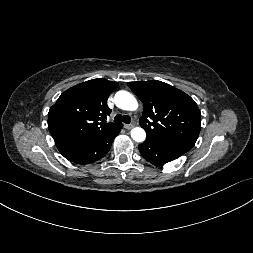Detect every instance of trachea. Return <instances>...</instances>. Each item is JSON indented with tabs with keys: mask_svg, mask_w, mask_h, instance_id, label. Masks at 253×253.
I'll use <instances>...</instances> for the list:
<instances>
[{
	"mask_svg": "<svg viewBox=\"0 0 253 253\" xmlns=\"http://www.w3.org/2000/svg\"><path fill=\"white\" fill-rule=\"evenodd\" d=\"M114 122L115 123H121L124 122L126 124H129L131 122V118L127 115H121V114H117L114 118Z\"/></svg>",
	"mask_w": 253,
	"mask_h": 253,
	"instance_id": "obj_1",
	"label": "trachea"
}]
</instances>
